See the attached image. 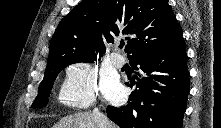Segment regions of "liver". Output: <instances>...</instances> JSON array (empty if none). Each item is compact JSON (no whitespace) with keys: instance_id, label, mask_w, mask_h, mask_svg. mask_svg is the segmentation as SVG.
Returning <instances> with one entry per match:
<instances>
[{"instance_id":"obj_1","label":"liver","mask_w":221,"mask_h":128,"mask_svg":"<svg viewBox=\"0 0 221 128\" xmlns=\"http://www.w3.org/2000/svg\"><path fill=\"white\" fill-rule=\"evenodd\" d=\"M110 128H117L109 122ZM53 128H98L92 113L78 112L63 117Z\"/></svg>"}]
</instances>
